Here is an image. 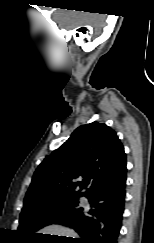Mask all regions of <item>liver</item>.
<instances>
[{
  "instance_id": "liver-1",
  "label": "liver",
  "mask_w": 154,
  "mask_h": 243,
  "mask_svg": "<svg viewBox=\"0 0 154 243\" xmlns=\"http://www.w3.org/2000/svg\"><path fill=\"white\" fill-rule=\"evenodd\" d=\"M40 233L72 237V238H77V236H78L74 230L69 229L64 226H60V225H50V226L44 227L42 230H40ZM72 238H68V239H72ZM65 241H67V240H65Z\"/></svg>"
}]
</instances>
